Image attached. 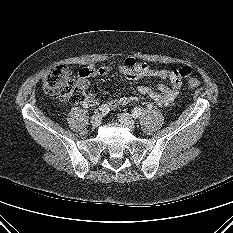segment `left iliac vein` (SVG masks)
Masks as SVG:
<instances>
[{
	"label": "left iliac vein",
	"mask_w": 233,
	"mask_h": 233,
	"mask_svg": "<svg viewBox=\"0 0 233 233\" xmlns=\"http://www.w3.org/2000/svg\"><path fill=\"white\" fill-rule=\"evenodd\" d=\"M119 122L130 130H135V121L128 113H121L118 117Z\"/></svg>",
	"instance_id": "4c4485c4"
}]
</instances>
